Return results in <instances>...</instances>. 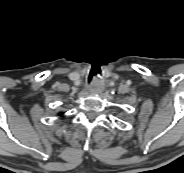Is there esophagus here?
<instances>
[{"label":"esophagus","instance_id":"1","mask_svg":"<svg viewBox=\"0 0 184 173\" xmlns=\"http://www.w3.org/2000/svg\"><path fill=\"white\" fill-rule=\"evenodd\" d=\"M89 92L90 93H98L102 90V87L99 83L95 82V83H92L90 86H89Z\"/></svg>","mask_w":184,"mask_h":173}]
</instances>
